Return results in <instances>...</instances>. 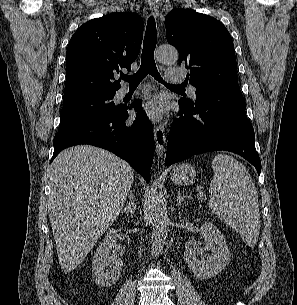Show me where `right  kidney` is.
Instances as JSON below:
<instances>
[{
    "label": "right kidney",
    "instance_id": "right-kidney-1",
    "mask_svg": "<svg viewBox=\"0 0 297 305\" xmlns=\"http://www.w3.org/2000/svg\"><path fill=\"white\" fill-rule=\"evenodd\" d=\"M117 232L115 229H110L106 234L101 244L96 250L92 262V277L95 283L101 287H111L119 279L123 263L119 258L111 255L110 250L117 243ZM111 262L114 263L113 270H106V266Z\"/></svg>",
    "mask_w": 297,
    "mask_h": 305
}]
</instances>
